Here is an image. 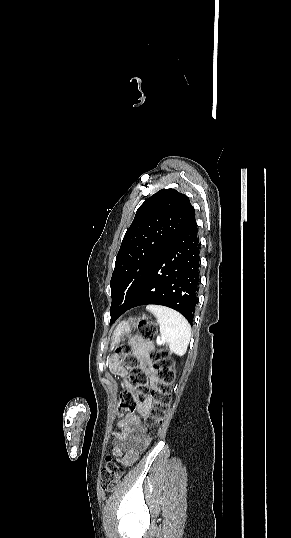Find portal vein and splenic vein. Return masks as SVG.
I'll return each mask as SVG.
<instances>
[{
  "label": "portal vein and splenic vein",
  "instance_id": "portal-vein-and-splenic-vein-1",
  "mask_svg": "<svg viewBox=\"0 0 291 538\" xmlns=\"http://www.w3.org/2000/svg\"><path fill=\"white\" fill-rule=\"evenodd\" d=\"M162 343H163V341L158 337V338H157V344H158V345H161Z\"/></svg>",
  "mask_w": 291,
  "mask_h": 538
}]
</instances>
